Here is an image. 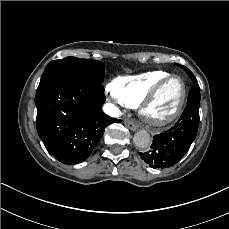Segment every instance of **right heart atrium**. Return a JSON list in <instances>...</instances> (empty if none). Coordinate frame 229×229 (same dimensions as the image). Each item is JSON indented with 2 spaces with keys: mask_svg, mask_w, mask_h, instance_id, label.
I'll use <instances>...</instances> for the list:
<instances>
[{
  "mask_svg": "<svg viewBox=\"0 0 229 229\" xmlns=\"http://www.w3.org/2000/svg\"><path fill=\"white\" fill-rule=\"evenodd\" d=\"M109 90H110V92H111V94H112L113 100H114L116 103H118V104H119L120 106H122V107H129V106H130V104L126 103L125 101H123L121 98H119L118 96H116V95L114 94V92H113V87H112V86L109 87Z\"/></svg>",
  "mask_w": 229,
  "mask_h": 229,
  "instance_id": "d8ad5b80",
  "label": "right heart atrium"
}]
</instances>
